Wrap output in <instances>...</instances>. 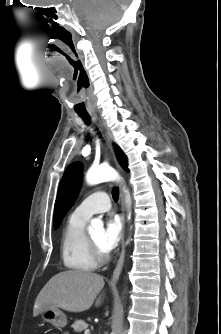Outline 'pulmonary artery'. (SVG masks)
Segmentation results:
<instances>
[{"instance_id":"e3ab8cb5","label":"pulmonary artery","mask_w":221,"mask_h":334,"mask_svg":"<svg viewBox=\"0 0 221 334\" xmlns=\"http://www.w3.org/2000/svg\"><path fill=\"white\" fill-rule=\"evenodd\" d=\"M111 202L109 195L102 190L96 191L86 197L73 211L79 218L88 220L92 215L109 210Z\"/></svg>"}]
</instances>
